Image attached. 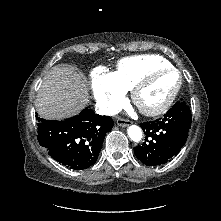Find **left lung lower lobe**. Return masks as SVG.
Instances as JSON below:
<instances>
[{"instance_id":"left-lung-lower-lobe-1","label":"left lung lower lobe","mask_w":221,"mask_h":221,"mask_svg":"<svg viewBox=\"0 0 221 221\" xmlns=\"http://www.w3.org/2000/svg\"><path fill=\"white\" fill-rule=\"evenodd\" d=\"M191 111L185 102H177L160 119L141 123L145 142L134 148L136 157L147 166L165 164L184 146L191 127Z\"/></svg>"}]
</instances>
